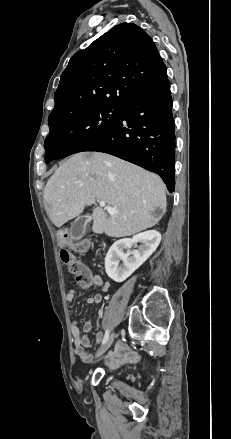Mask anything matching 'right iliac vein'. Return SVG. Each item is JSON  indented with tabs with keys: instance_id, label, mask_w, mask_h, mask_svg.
<instances>
[{
	"instance_id": "obj_1",
	"label": "right iliac vein",
	"mask_w": 231,
	"mask_h": 439,
	"mask_svg": "<svg viewBox=\"0 0 231 439\" xmlns=\"http://www.w3.org/2000/svg\"><path fill=\"white\" fill-rule=\"evenodd\" d=\"M115 337V333H111V335L108 337L107 341L104 343V345L97 351L96 353V358L101 357L111 346V344L113 343Z\"/></svg>"
}]
</instances>
